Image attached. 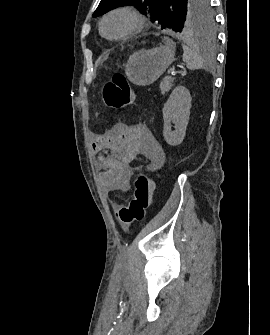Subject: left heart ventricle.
<instances>
[{"instance_id":"b2bd125f","label":"left heart ventricle","mask_w":270,"mask_h":335,"mask_svg":"<svg viewBox=\"0 0 270 335\" xmlns=\"http://www.w3.org/2000/svg\"><path fill=\"white\" fill-rule=\"evenodd\" d=\"M133 26L134 22L130 17L118 14L108 19L104 31L110 37H118L130 31Z\"/></svg>"}]
</instances>
